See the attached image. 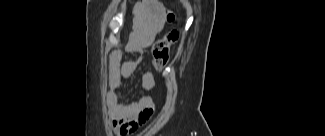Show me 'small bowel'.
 <instances>
[{
	"mask_svg": "<svg viewBox=\"0 0 325 136\" xmlns=\"http://www.w3.org/2000/svg\"><path fill=\"white\" fill-rule=\"evenodd\" d=\"M162 28L156 22L148 29L139 47L149 45ZM136 61L122 63V53L114 51L109 56V87L106 93V102L110 112L112 129L117 135L134 133L140 126L149 121L153 114V100L150 95H143L137 101L123 105L119 100V86L121 80L129 76L135 69ZM142 88L150 91L155 85L151 72H145L141 79Z\"/></svg>",
	"mask_w": 325,
	"mask_h": 136,
	"instance_id": "obj_1",
	"label": "small bowel"
}]
</instances>
